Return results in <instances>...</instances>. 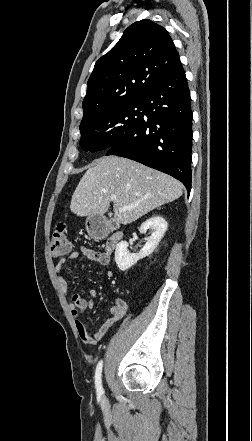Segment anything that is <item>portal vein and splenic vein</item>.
<instances>
[{"mask_svg":"<svg viewBox=\"0 0 252 441\" xmlns=\"http://www.w3.org/2000/svg\"><path fill=\"white\" fill-rule=\"evenodd\" d=\"M111 200H112V201L116 200V196H115V195H112V196H111ZM127 209H128L127 207H120V208H119V211H126Z\"/></svg>","mask_w":252,"mask_h":441,"instance_id":"obj_1","label":"portal vein and splenic vein"}]
</instances>
